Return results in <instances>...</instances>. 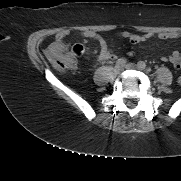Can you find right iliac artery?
Wrapping results in <instances>:
<instances>
[{
  "instance_id": "obj_1",
  "label": "right iliac artery",
  "mask_w": 181,
  "mask_h": 181,
  "mask_svg": "<svg viewBox=\"0 0 181 181\" xmlns=\"http://www.w3.org/2000/svg\"><path fill=\"white\" fill-rule=\"evenodd\" d=\"M127 60L125 58H120L116 61V65L124 66L126 64Z\"/></svg>"
}]
</instances>
